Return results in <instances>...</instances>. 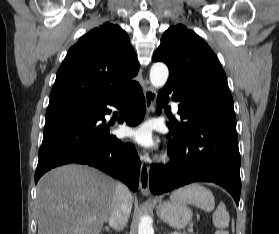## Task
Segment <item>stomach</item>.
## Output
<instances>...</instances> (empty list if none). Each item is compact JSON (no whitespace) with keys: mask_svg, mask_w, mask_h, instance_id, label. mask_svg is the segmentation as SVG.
I'll use <instances>...</instances> for the list:
<instances>
[{"mask_svg":"<svg viewBox=\"0 0 279 234\" xmlns=\"http://www.w3.org/2000/svg\"><path fill=\"white\" fill-rule=\"evenodd\" d=\"M156 212L161 220L175 229L184 228L192 219L190 208L179 201L159 203Z\"/></svg>","mask_w":279,"mask_h":234,"instance_id":"obj_1","label":"stomach"}]
</instances>
